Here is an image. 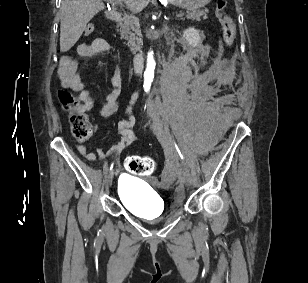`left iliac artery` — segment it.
Returning a JSON list of instances; mask_svg holds the SVG:
<instances>
[{
  "instance_id": "left-iliac-artery-1",
  "label": "left iliac artery",
  "mask_w": 308,
  "mask_h": 283,
  "mask_svg": "<svg viewBox=\"0 0 308 283\" xmlns=\"http://www.w3.org/2000/svg\"><path fill=\"white\" fill-rule=\"evenodd\" d=\"M175 146H176V149H177L178 154L180 155L181 159L184 161V157H183V155H182L180 149L178 148V146H177L176 144H175Z\"/></svg>"
}]
</instances>
